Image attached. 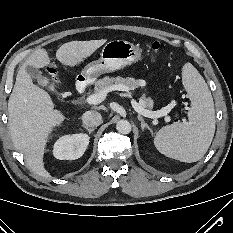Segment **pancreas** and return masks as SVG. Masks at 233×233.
Wrapping results in <instances>:
<instances>
[{"label":"pancreas","instance_id":"pancreas-1","mask_svg":"<svg viewBox=\"0 0 233 233\" xmlns=\"http://www.w3.org/2000/svg\"><path fill=\"white\" fill-rule=\"evenodd\" d=\"M143 83L142 80H136L134 78H123V77H104L99 79L94 83L95 87L99 90H108L112 86H122L125 90H135ZM141 105L145 108H152L153 99L150 97H145V95L141 98Z\"/></svg>","mask_w":233,"mask_h":233}]
</instances>
